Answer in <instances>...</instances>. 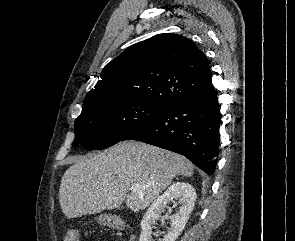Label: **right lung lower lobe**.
Masks as SVG:
<instances>
[{"label":"right lung lower lobe","mask_w":295,"mask_h":241,"mask_svg":"<svg viewBox=\"0 0 295 241\" xmlns=\"http://www.w3.org/2000/svg\"><path fill=\"white\" fill-rule=\"evenodd\" d=\"M221 113L213 86L181 97L149 122L126 134L138 140L186 156L208 174L215 171L219 154Z\"/></svg>","instance_id":"1"}]
</instances>
